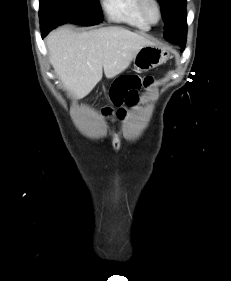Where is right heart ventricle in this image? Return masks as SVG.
<instances>
[{
    "label": "right heart ventricle",
    "instance_id": "1",
    "mask_svg": "<svg viewBox=\"0 0 231 281\" xmlns=\"http://www.w3.org/2000/svg\"><path fill=\"white\" fill-rule=\"evenodd\" d=\"M102 8L112 21L142 30L149 28V23L142 16L139 0H102Z\"/></svg>",
    "mask_w": 231,
    "mask_h": 281
}]
</instances>
